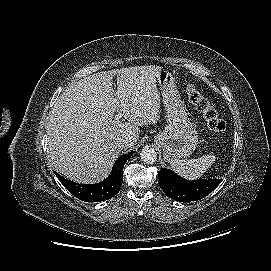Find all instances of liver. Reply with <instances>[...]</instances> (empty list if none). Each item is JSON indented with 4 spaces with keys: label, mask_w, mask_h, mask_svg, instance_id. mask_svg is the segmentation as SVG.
Wrapping results in <instances>:
<instances>
[{
    "label": "liver",
    "mask_w": 271,
    "mask_h": 271,
    "mask_svg": "<svg viewBox=\"0 0 271 271\" xmlns=\"http://www.w3.org/2000/svg\"><path fill=\"white\" fill-rule=\"evenodd\" d=\"M161 70L155 65L134 66L70 83L53 106L46 126L48 153L55 169L79 183L105 178L122 150L117 140L130 136L135 145L139 126L157 123L161 103L156 82ZM116 109L127 122L115 120Z\"/></svg>",
    "instance_id": "obj_1"
}]
</instances>
